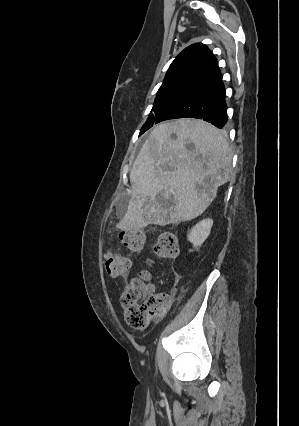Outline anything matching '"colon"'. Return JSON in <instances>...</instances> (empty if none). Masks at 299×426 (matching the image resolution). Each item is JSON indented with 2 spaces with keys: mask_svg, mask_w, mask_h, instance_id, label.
I'll return each mask as SVG.
<instances>
[{
  "mask_svg": "<svg viewBox=\"0 0 299 426\" xmlns=\"http://www.w3.org/2000/svg\"><path fill=\"white\" fill-rule=\"evenodd\" d=\"M119 241L123 248L131 253H136L143 249L146 233L143 229L123 231L119 235ZM153 252L160 259L175 257L178 253L175 235L162 233L154 244ZM104 265L110 276L118 277L128 271L131 259L120 252H107L104 256ZM148 278L149 274L142 272L139 277L126 284L120 297L125 320L129 326L135 329L147 327L150 320L162 315L169 305V296L154 294L151 286L147 284Z\"/></svg>",
  "mask_w": 299,
  "mask_h": 426,
  "instance_id": "1",
  "label": "colon"
}]
</instances>
